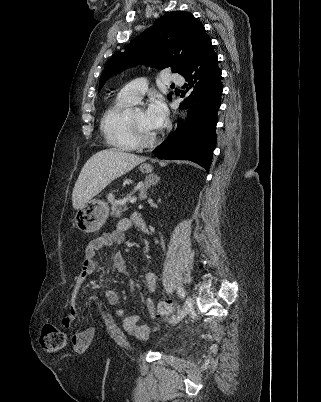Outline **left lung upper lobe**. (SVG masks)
<instances>
[{
  "mask_svg": "<svg viewBox=\"0 0 321 402\" xmlns=\"http://www.w3.org/2000/svg\"><path fill=\"white\" fill-rule=\"evenodd\" d=\"M209 39L203 24L191 13H167L128 44L125 51L111 57L102 72L99 88L113 75L137 63L158 69L171 67L172 72L182 74Z\"/></svg>",
  "mask_w": 321,
  "mask_h": 402,
  "instance_id": "obj_1",
  "label": "left lung upper lobe"
}]
</instances>
